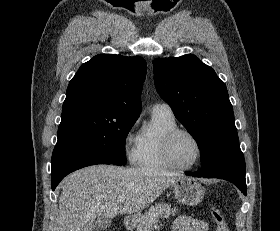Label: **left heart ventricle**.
<instances>
[{
  "label": "left heart ventricle",
  "mask_w": 280,
  "mask_h": 231,
  "mask_svg": "<svg viewBox=\"0 0 280 231\" xmlns=\"http://www.w3.org/2000/svg\"><path fill=\"white\" fill-rule=\"evenodd\" d=\"M172 157L177 165L192 166L198 159L196 141L187 134H179L172 144Z\"/></svg>",
  "instance_id": "obj_1"
}]
</instances>
